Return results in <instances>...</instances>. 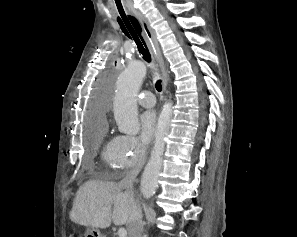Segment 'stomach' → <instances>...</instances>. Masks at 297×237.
I'll return each instance as SVG.
<instances>
[{"label":"stomach","mask_w":297,"mask_h":237,"mask_svg":"<svg viewBox=\"0 0 297 237\" xmlns=\"http://www.w3.org/2000/svg\"><path fill=\"white\" fill-rule=\"evenodd\" d=\"M85 237H104V236L96 228L88 227L85 232Z\"/></svg>","instance_id":"0dacf381"}]
</instances>
